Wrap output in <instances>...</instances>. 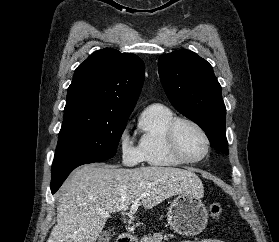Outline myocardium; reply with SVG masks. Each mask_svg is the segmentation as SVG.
Masks as SVG:
<instances>
[{
	"label": "myocardium",
	"instance_id": "1",
	"mask_svg": "<svg viewBox=\"0 0 279 242\" xmlns=\"http://www.w3.org/2000/svg\"><path fill=\"white\" fill-rule=\"evenodd\" d=\"M181 124H188V125L194 127L203 137V139L205 141V152L202 156H200L198 158H189L186 155H184V153L181 151V149L179 147L178 139H177V131ZM166 141H167L168 148H169L170 152L172 153V155L177 160H179L181 163H184V164H195V163L201 162L208 156V154L210 152V148H211L210 138H209L207 132L205 131V129L196 121H194L190 118H185V117H176L169 124L167 131H166Z\"/></svg>",
	"mask_w": 279,
	"mask_h": 242
}]
</instances>
